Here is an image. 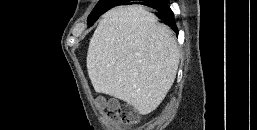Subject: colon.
<instances>
[{"instance_id": "obj_1", "label": "colon", "mask_w": 257, "mask_h": 130, "mask_svg": "<svg viewBox=\"0 0 257 130\" xmlns=\"http://www.w3.org/2000/svg\"><path fill=\"white\" fill-rule=\"evenodd\" d=\"M109 118L112 122L122 126L135 125L139 121L136 110L129 105H121L112 110L109 114Z\"/></svg>"}]
</instances>
